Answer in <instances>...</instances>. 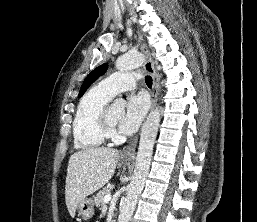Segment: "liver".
Segmentation results:
<instances>
[{
	"instance_id": "6515ba94",
	"label": "liver",
	"mask_w": 257,
	"mask_h": 222,
	"mask_svg": "<svg viewBox=\"0 0 257 222\" xmlns=\"http://www.w3.org/2000/svg\"><path fill=\"white\" fill-rule=\"evenodd\" d=\"M119 151L88 148L71 155L65 184V201L71 217L79 202L103 187L114 175Z\"/></svg>"
}]
</instances>
